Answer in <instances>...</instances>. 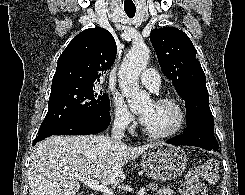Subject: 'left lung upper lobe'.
I'll return each mask as SVG.
<instances>
[{"label": "left lung upper lobe", "instance_id": "left-lung-upper-lobe-1", "mask_svg": "<svg viewBox=\"0 0 245 195\" xmlns=\"http://www.w3.org/2000/svg\"><path fill=\"white\" fill-rule=\"evenodd\" d=\"M150 40L163 74L185 101L187 125L214 130L206 77L190 38L182 30L166 27L152 30Z\"/></svg>", "mask_w": 245, "mask_h": 195}]
</instances>
